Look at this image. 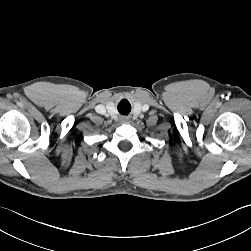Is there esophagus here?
Returning a JSON list of instances; mask_svg holds the SVG:
<instances>
[{
  "label": "esophagus",
  "instance_id": "obj_1",
  "mask_svg": "<svg viewBox=\"0 0 251 251\" xmlns=\"http://www.w3.org/2000/svg\"><path fill=\"white\" fill-rule=\"evenodd\" d=\"M121 122H122V123H128V122H129V120H128V118L123 117V118L121 119Z\"/></svg>",
  "mask_w": 251,
  "mask_h": 251
}]
</instances>
